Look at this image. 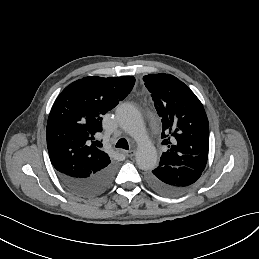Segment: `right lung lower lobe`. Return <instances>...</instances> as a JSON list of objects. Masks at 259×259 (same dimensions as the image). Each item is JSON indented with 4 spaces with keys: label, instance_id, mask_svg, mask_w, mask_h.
<instances>
[{
    "label": "right lung lower lobe",
    "instance_id": "98d812e1",
    "mask_svg": "<svg viewBox=\"0 0 259 259\" xmlns=\"http://www.w3.org/2000/svg\"><path fill=\"white\" fill-rule=\"evenodd\" d=\"M115 173L113 164L87 178H76L57 171V176L67 189L76 195L91 197L104 192L110 186Z\"/></svg>",
    "mask_w": 259,
    "mask_h": 259
}]
</instances>
